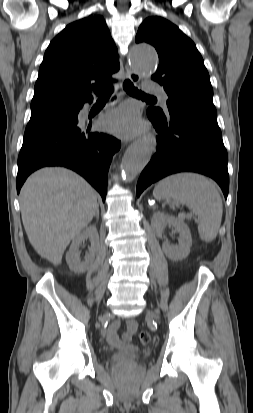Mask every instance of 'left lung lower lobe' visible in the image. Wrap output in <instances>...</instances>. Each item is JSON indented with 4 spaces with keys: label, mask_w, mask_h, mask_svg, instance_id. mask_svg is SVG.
Masks as SVG:
<instances>
[{
    "label": "left lung lower lobe",
    "mask_w": 253,
    "mask_h": 413,
    "mask_svg": "<svg viewBox=\"0 0 253 413\" xmlns=\"http://www.w3.org/2000/svg\"><path fill=\"white\" fill-rule=\"evenodd\" d=\"M157 135V150L137 183L136 194L163 177L197 172L213 178L225 198L229 190L228 155L217 115L178 107L165 115L147 110Z\"/></svg>",
    "instance_id": "left-lung-lower-lobe-1"
}]
</instances>
